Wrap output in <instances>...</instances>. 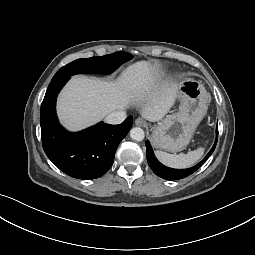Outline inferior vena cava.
<instances>
[{
  "label": "inferior vena cava",
  "instance_id": "1",
  "mask_svg": "<svg viewBox=\"0 0 255 255\" xmlns=\"http://www.w3.org/2000/svg\"><path fill=\"white\" fill-rule=\"evenodd\" d=\"M126 119L125 111H114L107 115L105 118L106 122L109 124H120Z\"/></svg>",
  "mask_w": 255,
  "mask_h": 255
}]
</instances>
